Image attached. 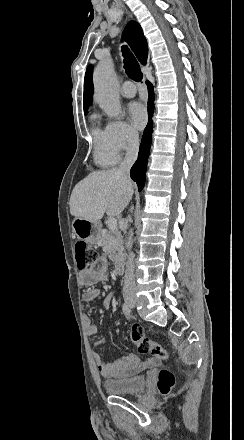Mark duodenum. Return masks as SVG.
<instances>
[{
	"mask_svg": "<svg viewBox=\"0 0 244 440\" xmlns=\"http://www.w3.org/2000/svg\"><path fill=\"white\" fill-rule=\"evenodd\" d=\"M114 266H115V270L118 274H121L124 272V262L121 257L115 258Z\"/></svg>",
	"mask_w": 244,
	"mask_h": 440,
	"instance_id": "obj_1",
	"label": "duodenum"
}]
</instances>
